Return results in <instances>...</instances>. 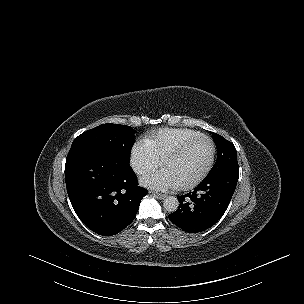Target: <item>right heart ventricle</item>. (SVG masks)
Instances as JSON below:
<instances>
[{"label":"right heart ventricle","instance_id":"1","mask_svg":"<svg viewBox=\"0 0 304 304\" xmlns=\"http://www.w3.org/2000/svg\"><path fill=\"white\" fill-rule=\"evenodd\" d=\"M200 136V133L188 128H162L153 132L147 144L160 160H164L177 147Z\"/></svg>","mask_w":304,"mask_h":304}]
</instances>
